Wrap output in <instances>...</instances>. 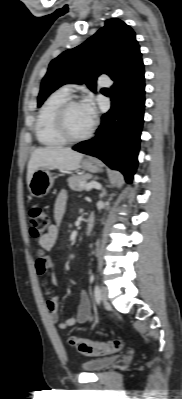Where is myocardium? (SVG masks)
<instances>
[{
	"instance_id": "1",
	"label": "myocardium",
	"mask_w": 182,
	"mask_h": 399,
	"mask_svg": "<svg viewBox=\"0 0 182 399\" xmlns=\"http://www.w3.org/2000/svg\"><path fill=\"white\" fill-rule=\"evenodd\" d=\"M76 104H80V101L75 98H69L61 106L58 108L55 115V125L58 134L64 139L66 142L70 143H78L87 140L91 137L95 130L96 122L93 120L88 131L81 136H73L67 125V113L69 109Z\"/></svg>"
}]
</instances>
